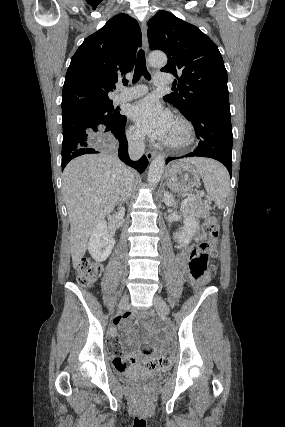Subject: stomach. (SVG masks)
<instances>
[{"mask_svg": "<svg viewBox=\"0 0 285 427\" xmlns=\"http://www.w3.org/2000/svg\"><path fill=\"white\" fill-rule=\"evenodd\" d=\"M167 181L174 191L184 194L199 186L200 177L197 169L190 163L175 162L167 169Z\"/></svg>", "mask_w": 285, "mask_h": 427, "instance_id": "obj_1", "label": "stomach"}]
</instances>
